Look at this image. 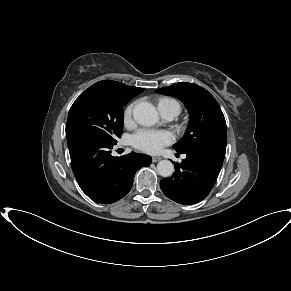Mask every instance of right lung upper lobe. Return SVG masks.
Here are the masks:
<instances>
[{"label":"right lung upper lobe","mask_w":291,"mask_h":291,"mask_svg":"<svg viewBox=\"0 0 291 291\" xmlns=\"http://www.w3.org/2000/svg\"><path fill=\"white\" fill-rule=\"evenodd\" d=\"M94 86L103 87L109 90L110 92H112L113 94L127 97L130 99L142 93L144 90L143 88L127 86L123 83L110 81V80H103V81L97 82L94 84Z\"/></svg>","instance_id":"cb5924a9"}]
</instances>
